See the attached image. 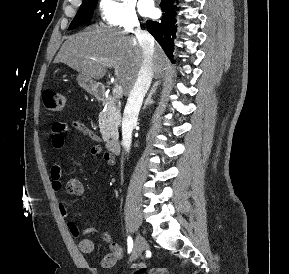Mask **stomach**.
<instances>
[{
  "mask_svg": "<svg viewBox=\"0 0 289 274\" xmlns=\"http://www.w3.org/2000/svg\"><path fill=\"white\" fill-rule=\"evenodd\" d=\"M77 81L80 87L90 94H96L98 90V84L91 77L83 74L77 75Z\"/></svg>",
  "mask_w": 289,
  "mask_h": 274,
  "instance_id": "obj_1",
  "label": "stomach"
}]
</instances>
